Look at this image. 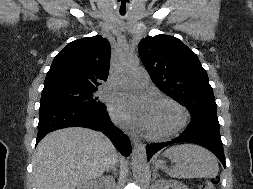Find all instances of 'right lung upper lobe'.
I'll use <instances>...</instances> for the list:
<instances>
[{"mask_svg":"<svg viewBox=\"0 0 253 189\" xmlns=\"http://www.w3.org/2000/svg\"><path fill=\"white\" fill-rule=\"evenodd\" d=\"M111 48L97 35L69 43L53 60L44 89L98 87L109 74Z\"/></svg>","mask_w":253,"mask_h":189,"instance_id":"cb5924a9","label":"right lung upper lobe"}]
</instances>
